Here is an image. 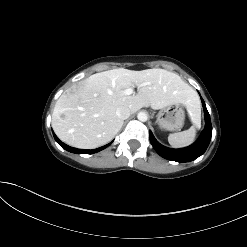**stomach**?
Instances as JSON below:
<instances>
[{"label": "stomach", "instance_id": "1", "mask_svg": "<svg viewBox=\"0 0 247 247\" xmlns=\"http://www.w3.org/2000/svg\"><path fill=\"white\" fill-rule=\"evenodd\" d=\"M185 112L179 104L169 105L159 111L157 122L167 131H178L184 125Z\"/></svg>", "mask_w": 247, "mask_h": 247}]
</instances>
